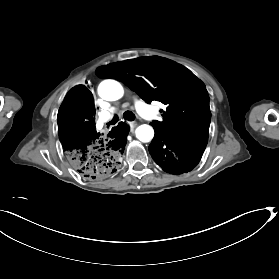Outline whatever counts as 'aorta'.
<instances>
[{
	"instance_id": "762f6f07",
	"label": "aorta",
	"mask_w": 279,
	"mask_h": 279,
	"mask_svg": "<svg viewBox=\"0 0 279 279\" xmlns=\"http://www.w3.org/2000/svg\"><path fill=\"white\" fill-rule=\"evenodd\" d=\"M99 96L107 101H116L124 94L122 85L113 79H106L102 81L98 87ZM136 137L141 142H149L154 137V129L147 124L140 125L136 129Z\"/></svg>"
}]
</instances>
